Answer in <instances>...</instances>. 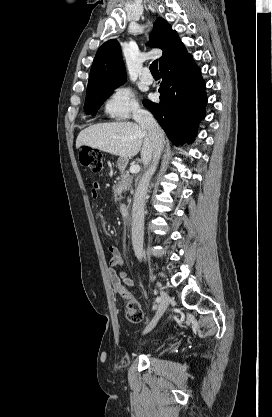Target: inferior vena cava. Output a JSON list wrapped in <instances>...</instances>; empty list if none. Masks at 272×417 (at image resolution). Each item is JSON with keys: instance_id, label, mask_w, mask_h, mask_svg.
Here are the masks:
<instances>
[{"instance_id": "obj_1", "label": "inferior vena cava", "mask_w": 272, "mask_h": 417, "mask_svg": "<svg viewBox=\"0 0 272 417\" xmlns=\"http://www.w3.org/2000/svg\"><path fill=\"white\" fill-rule=\"evenodd\" d=\"M134 120L148 131L152 143V163L140 180L134 194L132 207V245L136 257L143 258V237H144V207L148 191L149 181L156 171L161 152L164 147V133L153 115L144 109H139L134 114Z\"/></svg>"}]
</instances>
